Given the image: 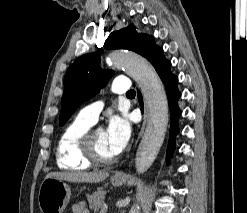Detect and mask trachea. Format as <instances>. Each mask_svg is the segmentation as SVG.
<instances>
[{
    "label": "trachea",
    "mask_w": 247,
    "mask_h": 213,
    "mask_svg": "<svg viewBox=\"0 0 247 213\" xmlns=\"http://www.w3.org/2000/svg\"><path fill=\"white\" fill-rule=\"evenodd\" d=\"M133 93H135L134 90H130L129 92H127V94H133Z\"/></svg>",
    "instance_id": "3493384b"
}]
</instances>
